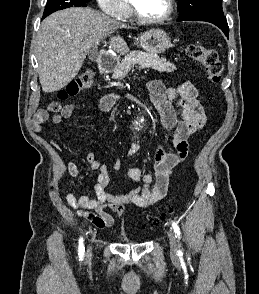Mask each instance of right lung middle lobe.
<instances>
[{
    "label": "right lung middle lobe",
    "mask_w": 259,
    "mask_h": 294,
    "mask_svg": "<svg viewBox=\"0 0 259 294\" xmlns=\"http://www.w3.org/2000/svg\"><path fill=\"white\" fill-rule=\"evenodd\" d=\"M89 1L91 0H47L43 17H47L48 15L58 10H62L73 6L85 7L87 6L86 3Z\"/></svg>",
    "instance_id": "1"
}]
</instances>
